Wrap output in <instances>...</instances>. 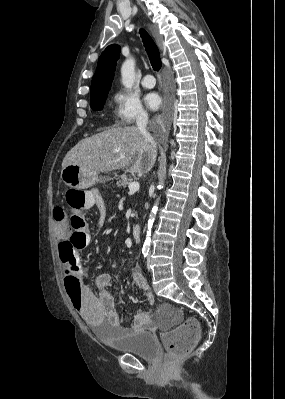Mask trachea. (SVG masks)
<instances>
[{
    "instance_id": "obj_1",
    "label": "trachea",
    "mask_w": 285,
    "mask_h": 399,
    "mask_svg": "<svg viewBox=\"0 0 285 399\" xmlns=\"http://www.w3.org/2000/svg\"><path fill=\"white\" fill-rule=\"evenodd\" d=\"M139 33L142 38L145 50L148 54L152 68L155 71H159L161 69L162 63L158 47L156 46L151 36L144 29H140Z\"/></svg>"
}]
</instances>
